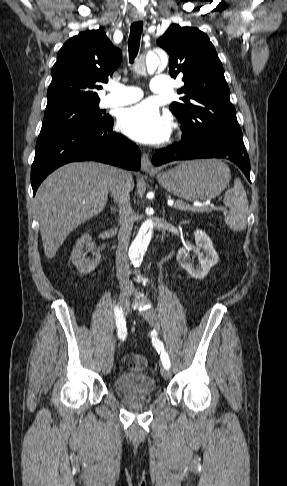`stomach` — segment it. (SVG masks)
Returning <instances> with one entry per match:
<instances>
[{"instance_id": "obj_1", "label": "stomach", "mask_w": 287, "mask_h": 486, "mask_svg": "<svg viewBox=\"0 0 287 486\" xmlns=\"http://www.w3.org/2000/svg\"><path fill=\"white\" fill-rule=\"evenodd\" d=\"M228 166L217 159L181 162L157 174L159 184L168 192L189 201H204L219 195L229 184Z\"/></svg>"}]
</instances>
